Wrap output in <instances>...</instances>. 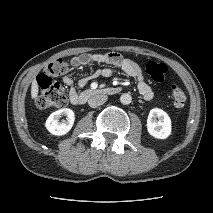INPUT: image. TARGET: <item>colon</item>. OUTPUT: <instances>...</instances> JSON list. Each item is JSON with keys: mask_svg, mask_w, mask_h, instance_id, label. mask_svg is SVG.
<instances>
[{"mask_svg": "<svg viewBox=\"0 0 213 213\" xmlns=\"http://www.w3.org/2000/svg\"><path fill=\"white\" fill-rule=\"evenodd\" d=\"M67 69L68 64L62 59L54 60L45 66L37 79L39 92L35 104L38 108H62L66 105L67 94L55 78L64 74ZM145 69L155 82H162L165 79L167 66L164 63L149 61ZM171 97L175 107H184L186 95L177 84L171 86Z\"/></svg>", "mask_w": 213, "mask_h": 213, "instance_id": "1", "label": "colon"}]
</instances>
